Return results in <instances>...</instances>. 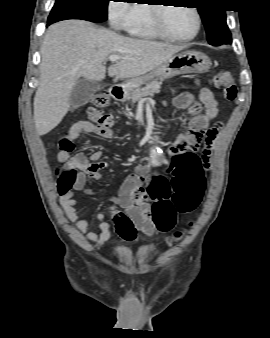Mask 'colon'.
Masks as SVG:
<instances>
[{"instance_id":"5ec220e1","label":"colon","mask_w":270,"mask_h":338,"mask_svg":"<svg viewBox=\"0 0 270 338\" xmlns=\"http://www.w3.org/2000/svg\"><path fill=\"white\" fill-rule=\"evenodd\" d=\"M216 87L222 92L224 97L228 100H233L236 97V86L234 78L224 70L218 71L216 74ZM110 102L109 97L105 93H97L91 99L87 113L91 121L95 124L107 126L114 123V118L111 115L104 114L100 110L107 107ZM209 133L202 127L198 128L193 134L192 139L196 146L202 141H208ZM182 137H178L175 141L176 145L183 142ZM60 150L71 152L72 144L66 139L60 143ZM210 149L208 146L204 147L202 154L208 157ZM170 169H167L169 171ZM77 170L74 166L66 164L58 174L59 190L64 191L69 183L76 177ZM203 187V179L200 171H196L191 177L187 185L175 183L173 185L172 193H168L166 198L171 200L169 202H158L151 208L152 222L162 226L168 227L173 220V216L177 213H185L194 210L201 200ZM114 221L118 225L126 226L129 231L133 232L134 229L131 225L129 218L123 213H117L114 216ZM185 235L184 231H178L174 234V239L180 241Z\"/></svg>"}]
</instances>
